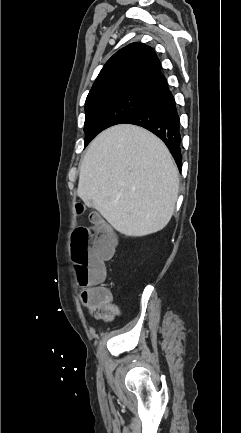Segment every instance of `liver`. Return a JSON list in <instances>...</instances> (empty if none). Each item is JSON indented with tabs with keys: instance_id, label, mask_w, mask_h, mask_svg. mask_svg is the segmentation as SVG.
Returning a JSON list of instances; mask_svg holds the SVG:
<instances>
[{
	"instance_id": "1",
	"label": "liver",
	"mask_w": 241,
	"mask_h": 433,
	"mask_svg": "<svg viewBox=\"0 0 241 433\" xmlns=\"http://www.w3.org/2000/svg\"><path fill=\"white\" fill-rule=\"evenodd\" d=\"M178 191L169 150L139 126L106 129L90 143L79 166L77 195L126 236L162 230L174 213Z\"/></svg>"
}]
</instances>
